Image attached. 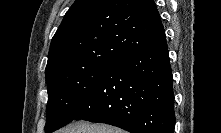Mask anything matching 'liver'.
Masks as SVG:
<instances>
[{
    "label": "liver",
    "instance_id": "obj_1",
    "mask_svg": "<svg viewBox=\"0 0 221 133\" xmlns=\"http://www.w3.org/2000/svg\"><path fill=\"white\" fill-rule=\"evenodd\" d=\"M58 133H124V131L106 124L76 122L59 130Z\"/></svg>",
    "mask_w": 221,
    "mask_h": 133
}]
</instances>
